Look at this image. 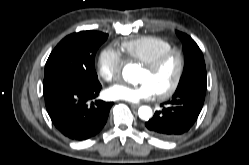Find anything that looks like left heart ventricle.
<instances>
[{
	"instance_id": "left-heart-ventricle-1",
	"label": "left heart ventricle",
	"mask_w": 249,
	"mask_h": 165,
	"mask_svg": "<svg viewBox=\"0 0 249 165\" xmlns=\"http://www.w3.org/2000/svg\"><path fill=\"white\" fill-rule=\"evenodd\" d=\"M175 70L176 60L171 59L156 73H150L144 67L140 68L136 78L140 82H148L156 92L166 88L171 83Z\"/></svg>"
}]
</instances>
